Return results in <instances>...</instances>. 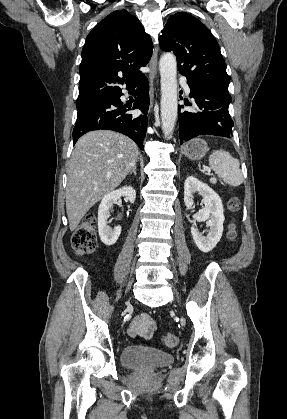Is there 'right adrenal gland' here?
<instances>
[{"instance_id": "1", "label": "right adrenal gland", "mask_w": 287, "mask_h": 419, "mask_svg": "<svg viewBox=\"0 0 287 419\" xmlns=\"http://www.w3.org/2000/svg\"><path fill=\"white\" fill-rule=\"evenodd\" d=\"M136 165H134L133 167H132V169H131V171L129 172V174H134L135 176H136Z\"/></svg>"}]
</instances>
